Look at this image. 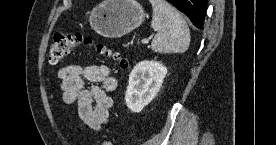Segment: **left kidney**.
<instances>
[{
    "label": "left kidney",
    "instance_id": "obj_1",
    "mask_svg": "<svg viewBox=\"0 0 276 145\" xmlns=\"http://www.w3.org/2000/svg\"><path fill=\"white\" fill-rule=\"evenodd\" d=\"M167 68L157 61H141L131 71L125 94L127 107L133 112H141L159 92Z\"/></svg>",
    "mask_w": 276,
    "mask_h": 145
}]
</instances>
